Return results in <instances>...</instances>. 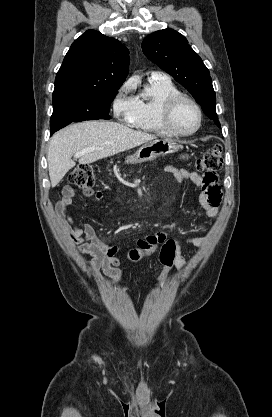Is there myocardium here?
I'll list each match as a JSON object with an SVG mask.
<instances>
[{"label": "myocardium", "instance_id": "1", "mask_svg": "<svg viewBox=\"0 0 272 417\" xmlns=\"http://www.w3.org/2000/svg\"><path fill=\"white\" fill-rule=\"evenodd\" d=\"M181 102L190 103L196 110L198 115V123L196 127L190 132H182L175 128L173 125V114ZM161 123L163 127L173 136L177 137H189L194 135L201 127L203 121V114L199 104L190 96L183 93H176L169 96L163 103L160 113Z\"/></svg>", "mask_w": 272, "mask_h": 417}]
</instances>
